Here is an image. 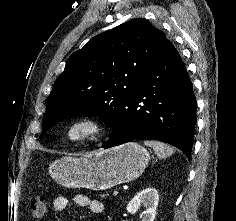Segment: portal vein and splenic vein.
<instances>
[{
  "instance_id": "18ae733b",
  "label": "portal vein and splenic vein",
  "mask_w": 236,
  "mask_h": 221,
  "mask_svg": "<svg viewBox=\"0 0 236 221\" xmlns=\"http://www.w3.org/2000/svg\"><path fill=\"white\" fill-rule=\"evenodd\" d=\"M118 193H119L118 190H114V191H113V196H117Z\"/></svg>"
}]
</instances>
